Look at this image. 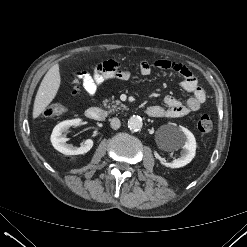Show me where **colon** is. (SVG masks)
Returning a JSON list of instances; mask_svg holds the SVG:
<instances>
[{
  "label": "colon",
  "instance_id": "5ec220e1",
  "mask_svg": "<svg viewBox=\"0 0 247 247\" xmlns=\"http://www.w3.org/2000/svg\"><path fill=\"white\" fill-rule=\"evenodd\" d=\"M66 111V107L60 103H53L47 106L44 110V115L47 117H55L63 114ZM197 130L206 134L213 128V122L207 114L201 115L197 120Z\"/></svg>",
  "mask_w": 247,
  "mask_h": 247
}]
</instances>
